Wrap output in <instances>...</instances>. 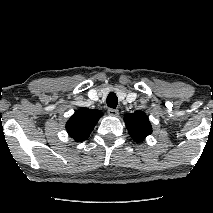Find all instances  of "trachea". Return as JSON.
<instances>
[{"instance_id":"obj_1","label":"trachea","mask_w":213,"mask_h":213,"mask_svg":"<svg viewBox=\"0 0 213 213\" xmlns=\"http://www.w3.org/2000/svg\"><path fill=\"white\" fill-rule=\"evenodd\" d=\"M118 104V98L114 92H110L107 96V106L115 109Z\"/></svg>"}]
</instances>
